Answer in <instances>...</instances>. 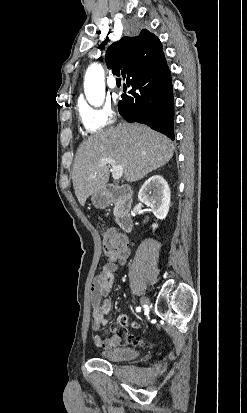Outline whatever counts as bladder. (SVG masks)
Instances as JSON below:
<instances>
[{
  "instance_id": "bladder-1",
  "label": "bladder",
  "mask_w": 247,
  "mask_h": 413,
  "mask_svg": "<svg viewBox=\"0 0 247 413\" xmlns=\"http://www.w3.org/2000/svg\"><path fill=\"white\" fill-rule=\"evenodd\" d=\"M139 356V348L137 347H126L117 348L112 350L99 351L97 354L98 358H103L108 361L113 362H125L127 360L137 359Z\"/></svg>"
}]
</instances>
